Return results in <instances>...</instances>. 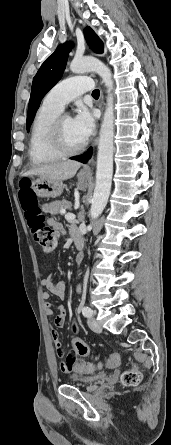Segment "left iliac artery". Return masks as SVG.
Returning a JSON list of instances; mask_svg holds the SVG:
<instances>
[{"instance_id": "1", "label": "left iliac artery", "mask_w": 171, "mask_h": 445, "mask_svg": "<svg viewBox=\"0 0 171 445\" xmlns=\"http://www.w3.org/2000/svg\"><path fill=\"white\" fill-rule=\"evenodd\" d=\"M82 314H83L85 317H91L92 314H93V311H92L91 308H89L88 306H84V307L82 308Z\"/></svg>"}]
</instances>
